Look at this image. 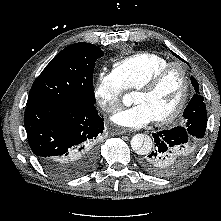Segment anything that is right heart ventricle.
<instances>
[{
  "label": "right heart ventricle",
  "mask_w": 221,
  "mask_h": 221,
  "mask_svg": "<svg viewBox=\"0 0 221 221\" xmlns=\"http://www.w3.org/2000/svg\"><path fill=\"white\" fill-rule=\"evenodd\" d=\"M168 63L157 53L140 52L114 63L113 73L125 90H135Z\"/></svg>",
  "instance_id": "e07e8e85"
}]
</instances>
